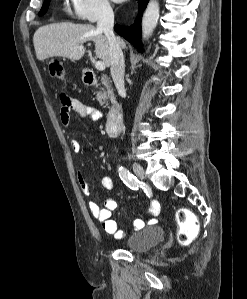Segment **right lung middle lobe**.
<instances>
[{
	"label": "right lung middle lobe",
	"instance_id": "dd1d6c3e",
	"mask_svg": "<svg viewBox=\"0 0 247 299\" xmlns=\"http://www.w3.org/2000/svg\"><path fill=\"white\" fill-rule=\"evenodd\" d=\"M49 3H50V0L44 1V4L39 12V15H44L46 13V11L48 10V7H49Z\"/></svg>",
	"mask_w": 247,
	"mask_h": 299
}]
</instances>
